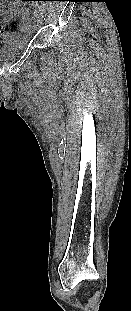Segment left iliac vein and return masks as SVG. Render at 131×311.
Instances as JSON below:
<instances>
[{
    "instance_id": "left-iliac-vein-1",
    "label": "left iliac vein",
    "mask_w": 131,
    "mask_h": 311,
    "mask_svg": "<svg viewBox=\"0 0 131 311\" xmlns=\"http://www.w3.org/2000/svg\"><path fill=\"white\" fill-rule=\"evenodd\" d=\"M42 22H43V20H42V19L38 20V25H41V24H42Z\"/></svg>"
}]
</instances>
